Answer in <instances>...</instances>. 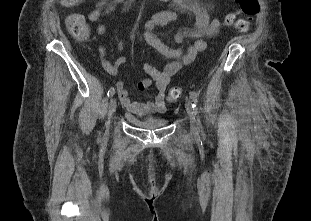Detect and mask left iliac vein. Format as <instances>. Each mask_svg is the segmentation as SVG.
Returning a JSON list of instances; mask_svg holds the SVG:
<instances>
[{
  "label": "left iliac vein",
  "instance_id": "1",
  "mask_svg": "<svg viewBox=\"0 0 311 221\" xmlns=\"http://www.w3.org/2000/svg\"><path fill=\"white\" fill-rule=\"evenodd\" d=\"M185 106H186V111L188 113L189 120H190V128L192 131H195L197 129V123L194 118V111H193L192 105L189 101H187Z\"/></svg>",
  "mask_w": 311,
  "mask_h": 221
}]
</instances>
